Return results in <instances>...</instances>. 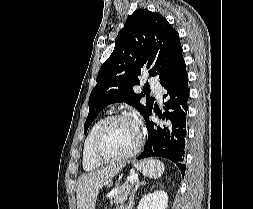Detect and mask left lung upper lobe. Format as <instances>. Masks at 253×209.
I'll list each match as a JSON object with an SVG mask.
<instances>
[{"label": "left lung upper lobe", "instance_id": "obj_1", "mask_svg": "<svg viewBox=\"0 0 253 209\" xmlns=\"http://www.w3.org/2000/svg\"><path fill=\"white\" fill-rule=\"evenodd\" d=\"M183 59L179 34L161 15L147 9L135 11L120 30L110 57L103 63L97 84L89 98V114L84 124L87 132L95 117L109 104L125 102L136 108L147 122L154 98L133 91L138 76L148 69L150 76L162 82Z\"/></svg>", "mask_w": 253, "mask_h": 209}]
</instances>
